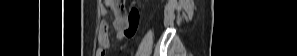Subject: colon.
Listing matches in <instances>:
<instances>
[{"instance_id": "1", "label": "colon", "mask_w": 297, "mask_h": 56, "mask_svg": "<svg viewBox=\"0 0 297 56\" xmlns=\"http://www.w3.org/2000/svg\"><path fill=\"white\" fill-rule=\"evenodd\" d=\"M120 3H123V2H121V1H119ZM134 11H137L136 9H133ZM138 13V12H137Z\"/></svg>"}]
</instances>
